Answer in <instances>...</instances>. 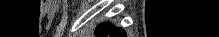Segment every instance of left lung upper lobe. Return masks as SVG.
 Listing matches in <instances>:
<instances>
[{"label": "left lung upper lobe", "mask_w": 219, "mask_h": 37, "mask_svg": "<svg viewBox=\"0 0 219 37\" xmlns=\"http://www.w3.org/2000/svg\"><path fill=\"white\" fill-rule=\"evenodd\" d=\"M112 26L113 25L111 23H106V22L100 24L96 29V35L98 37L102 36L104 33L108 32Z\"/></svg>", "instance_id": "5c2ea615"}]
</instances>
